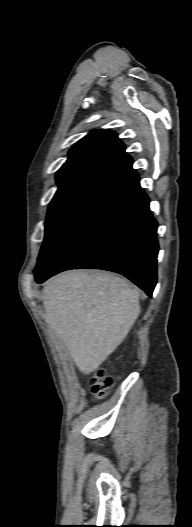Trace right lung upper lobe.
I'll list each match as a JSON object with an SVG mask.
<instances>
[{
    "label": "right lung upper lobe",
    "mask_w": 192,
    "mask_h": 527,
    "mask_svg": "<svg viewBox=\"0 0 192 527\" xmlns=\"http://www.w3.org/2000/svg\"><path fill=\"white\" fill-rule=\"evenodd\" d=\"M132 162L115 132L93 130L70 149L56 180L60 186L90 179L108 182Z\"/></svg>",
    "instance_id": "obj_1"
}]
</instances>
